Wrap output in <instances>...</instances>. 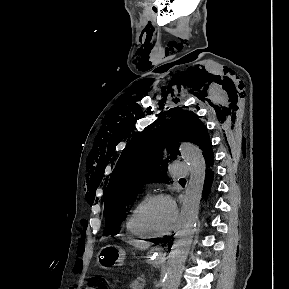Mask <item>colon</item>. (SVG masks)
I'll use <instances>...</instances> for the list:
<instances>
[{"instance_id":"colon-1","label":"colon","mask_w":289,"mask_h":289,"mask_svg":"<svg viewBox=\"0 0 289 289\" xmlns=\"http://www.w3.org/2000/svg\"><path fill=\"white\" fill-rule=\"evenodd\" d=\"M86 289H107L100 277H93L87 284Z\"/></svg>"}]
</instances>
